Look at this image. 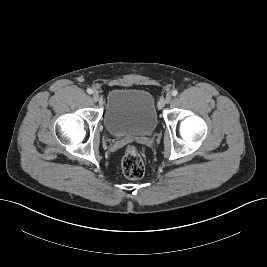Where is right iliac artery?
Instances as JSON below:
<instances>
[{"label":"right iliac artery","mask_w":267,"mask_h":267,"mask_svg":"<svg viewBox=\"0 0 267 267\" xmlns=\"http://www.w3.org/2000/svg\"><path fill=\"white\" fill-rule=\"evenodd\" d=\"M87 93L88 94H92L93 93V90L89 88V89H87Z\"/></svg>","instance_id":"right-iliac-artery-1"}]
</instances>
